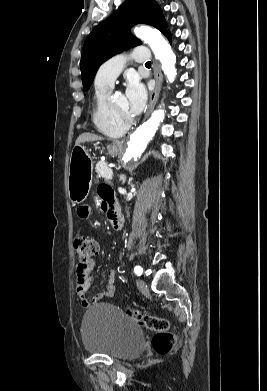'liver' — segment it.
<instances>
[{"label": "liver", "instance_id": "1", "mask_svg": "<svg viewBox=\"0 0 267 391\" xmlns=\"http://www.w3.org/2000/svg\"><path fill=\"white\" fill-rule=\"evenodd\" d=\"M98 140H102V137L92 133H83L77 138L75 145H79L84 142H93Z\"/></svg>", "mask_w": 267, "mask_h": 391}]
</instances>
